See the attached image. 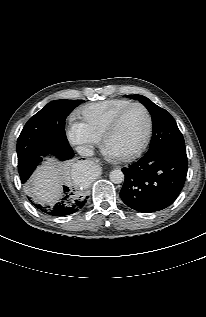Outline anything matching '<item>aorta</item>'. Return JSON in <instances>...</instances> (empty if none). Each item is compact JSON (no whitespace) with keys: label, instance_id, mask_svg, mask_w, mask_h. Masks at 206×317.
Masks as SVG:
<instances>
[{"label":"aorta","instance_id":"762f6f07","mask_svg":"<svg viewBox=\"0 0 206 317\" xmlns=\"http://www.w3.org/2000/svg\"><path fill=\"white\" fill-rule=\"evenodd\" d=\"M97 173V169L93 163H85L81 166L78 172V178L83 181H88ZM110 181L114 184H120L124 181V174L120 169H115L110 172Z\"/></svg>","mask_w":206,"mask_h":317}]
</instances>
